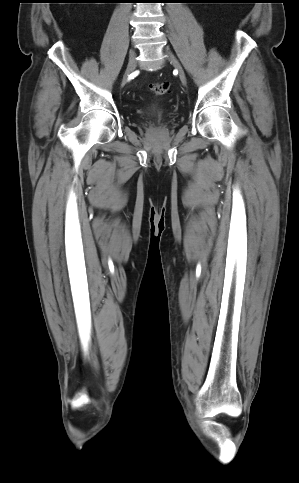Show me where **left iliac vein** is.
<instances>
[{"label": "left iliac vein", "mask_w": 299, "mask_h": 483, "mask_svg": "<svg viewBox=\"0 0 299 483\" xmlns=\"http://www.w3.org/2000/svg\"><path fill=\"white\" fill-rule=\"evenodd\" d=\"M165 55L167 56V59L170 61V63L173 65V67L178 71L179 79L181 83L186 86L187 85V78L184 72V69L178 59L175 57V55L168 49L164 50Z\"/></svg>", "instance_id": "obj_1"}]
</instances>
